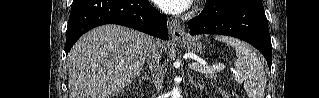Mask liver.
<instances>
[{"label": "liver", "mask_w": 319, "mask_h": 98, "mask_svg": "<svg viewBox=\"0 0 319 98\" xmlns=\"http://www.w3.org/2000/svg\"><path fill=\"white\" fill-rule=\"evenodd\" d=\"M150 42V36L118 25L84 34L68 54L70 98H112L138 76Z\"/></svg>", "instance_id": "liver-1"}]
</instances>
